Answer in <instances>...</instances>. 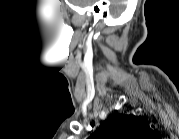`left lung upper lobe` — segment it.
<instances>
[{"instance_id":"obj_1","label":"left lung upper lobe","mask_w":179,"mask_h":139,"mask_svg":"<svg viewBox=\"0 0 179 139\" xmlns=\"http://www.w3.org/2000/svg\"><path fill=\"white\" fill-rule=\"evenodd\" d=\"M149 127L134 115H113L105 120L90 139H141Z\"/></svg>"}]
</instances>
